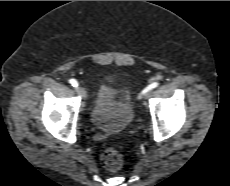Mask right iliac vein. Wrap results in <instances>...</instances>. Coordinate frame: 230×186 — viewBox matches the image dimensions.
Masks as SVG:
<instances>
[{
	"mask_svg": "<svg viewBox=\"0 0 230 186\" xmlns=\"http://www.w3.org/2000/svg\"><path fill=\"white\" fill-rule=\"evenodd\" d=\"M76 92L83 98L85 99L87 97L86 91L83 87L79 86L76 88Z\"/></svg>",
	"mask_w": 230,
	"mask_h": 186,
	"instance_id": "obj_1",
	"label": "right iliac vein"
}]
</instances>
